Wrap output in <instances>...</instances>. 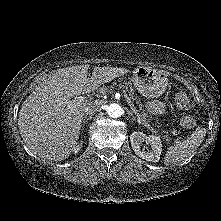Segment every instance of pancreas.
I'll list each match as a JSON object with an SVG mask.
<instances>
[{
	"label": "pancreas",
	"mask_w": 221,
	"mask_h": 221,
	"mask_svg": "<svg viewBox=\"0 0 221 221\" xmlns=\"http://www.w3.org/2000/svg\"><path fill=\"white\" fill-rule=\"evenodd\" d=\"M115 86H117L119 89H125L128 92V95L130 96L131 101L136 104V106H134V107L138 111L140 117L144 121L149 122V120L151 118L147 113L144 112V109H143L144 105L142 104L140 97L134 94V89H133L132 84L130 82L119 80L118 84L113 83L110 86H104V87L100 88L99 91L101 94L110 93L115 88ZM164 137L168 138L167 135H164Z\"/></svg>",
	"instance_id": "1"
}]
</instances>
